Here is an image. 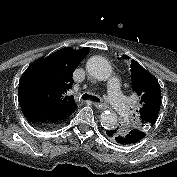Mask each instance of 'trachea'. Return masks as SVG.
Wrapping results in <instances>:
<instances>
[{
	"label": "trachea",
	"instance_id": "3493384b",
	"mask_svg": "<svg viewBox=\"0 0 177 177\" xmlns=\"http://www.w3.org/2000/svg\"><path fill=\"white\" fill-rule=\"evenodd\" d=\"M88 98L92 99L93 101L100 102V99L98 97L89 95L87 93H85L84 95H82V99H88Z\"/></svg>",
	"mask_w": 177,
	"mask_h": 177
}]
</instances>
